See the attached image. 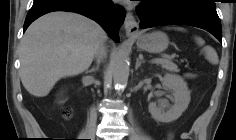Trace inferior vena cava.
<instances>
[{
    "instance_id": "obj_1",
    "label": "inferior vena cava",
    "mask_w": 236,
    "mask_h": 140,
    "mask_svg": "<svg viewBox=\"0 0 236 140\" xmlns=\"http://www.w3.org/2000/svg\"><path fill=\"white\" fill-rule=\"evenodd\" d=\"M95 55H96L98 60L103 59V57L105 56V47H104V45H101L99 47V49L96 51Z\"/></svg>"
}]
</instances>
